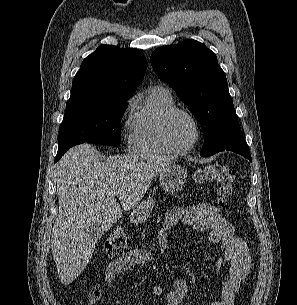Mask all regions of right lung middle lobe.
<instances>
[{
  "instance_id": "1",
  "label": "right lung middle lobe",
  "mask_w": 297,
  "mask_h": 305,
  "mask_svg": "<svg viewBox=\"0 0 297 305\" xmlns=\"http://www.w3.org/2000/svg\"><path fill=\"white\" fill-rule=\"evenodd\" d=\"M131 96L115 100L83 101L66 105L59 131L58 151L80 143L120 144V122Z\"/></svg>"
}]
</instances>
